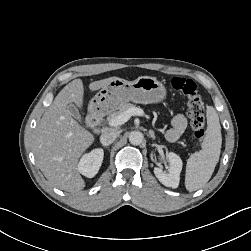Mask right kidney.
I'll return each mask as SVG.
<instances>
[{"mask_svg":"<svg viewBox=\"0 0 251 251\" xmlns=\"http://www.w3.org/2000/svg\"><path fill=\"white\" fill-rule=\"evenodd\" d=\"M103 157L104 152L100 148L84 154L78 163V171L88 178L94 177L101 167Z\"/></svg>","mask_w":251,"mask_h":251,"instance_id":"obj_1","label":"right kidney"}]
</instances>
